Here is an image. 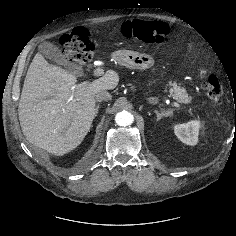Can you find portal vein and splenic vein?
<instances>
[{"instance_id":"portal-vein-and-splenic-vein-1","label":"portal vein and splenic vein","mask_w":236,"mask_h":236,"mask_svg":"<svg viewBox=\"0 0 236 236\" xmlns=\"http://www.w3.org/2000/svg\"><path fill=\"white\" fill-rule=\"evenodd\" d=\"M103 74H104V71H103V69H101V68H96V69L94 70V75H95V76H102ZM173 105H174L175 107H177V108H180V107H181L180 104H178L177 102H174Z\"/></svg>"}]
</instances>
